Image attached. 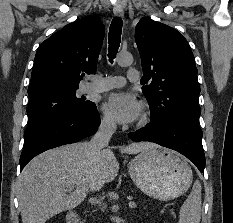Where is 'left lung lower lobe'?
Instances as JSON below:
<instances>
[{
  "instance_id": "1",
  "label": "left lung lower lobe",
  "mask_w": 233,
  "mask_h": 223,
  "mask_svg": "<svg viewBox=\"0 0 233 223\" xmlns=\"http://www.w3.org/2000/svg\"><path fill=\"white\" fill-rule=\"evenodd\" d=\"M134 141H150L173 149L190 159L204 173L205 155L202 146V130L197 122L173 121L149 123L144 128L128 134Z\"/></svg>"
}]
</instances>
